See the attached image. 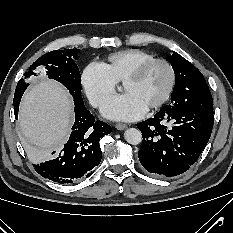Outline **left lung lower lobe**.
Listing matches in <instances>:
<instances>
[{
    "mask_svg": "<svg viewBox=\"0 0 233 233\" xmlns=\"http://www.w3.org/2000/svg\"><path fill=\"white\" fill-rule=\"evenodd\" d=\"M213 121L210 113L164 106L153 118L137 124L143 136L140 163L155 175L184 173L205 148Z\"/></svg>",
    "mask_w": 233,
    "mask_h": 233,
    "instance_id": "1",
    "label": "left lung lower lobe"
}]
</instances>
